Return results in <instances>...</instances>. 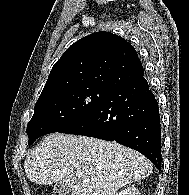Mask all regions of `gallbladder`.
Listing matches in <instances>:
<instances>
[{
    "instance_id": "bac80fb5",
    "label": "gallbladder",
    "mask_w": 189,
    "mask_h": 195,
    "mask_svg": "<svg viewBox=\"0 0 189 195\" xmlns=\"http://www.w3.org/2000/svg\"><path fill=\"white\" fill-rule=\"evenodd\" d=\"M54 191L59 195H70V187L67 183L58 182L54 184Z\"/></svg>"
}]
</instances>
